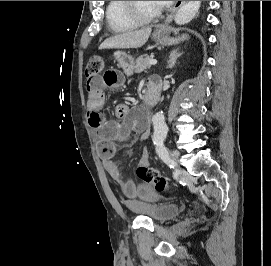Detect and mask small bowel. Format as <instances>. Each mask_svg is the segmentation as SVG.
Instances as JSON below:
<instances>
[{"instance_id": "small-bowel-1", "label": "small bowel", "mask_w": 271, "mask_h": 266, "mask_svg": "<svg viewBox=\"0 0 271 266\" xmlns=\"http://www.w3.org/2000/svg\"><path fill=\"white\" fill-rule=\"evenodd\" d=\"M123 82V72L115 66L105 68L100 75L88 77L86 113L89 126L97 134L99 150L106 172L129 200V205L139 206L136 203L138 199L156 201L159 199V195L148 184L136 185L133 181L121 178L117 163L114 161L115 142L127 139L133 131H145L147 129L146 121L139 109H131L126 104H119L115 108L116 117L121 121H107L101 112L104 106V90H117L121 88ZM150 83H155V81L152 80ZM142 162L146 165V155H144Z\"/></svg>"}]
</instances>
